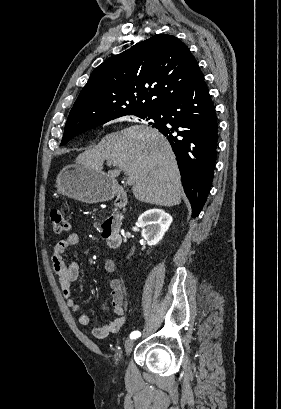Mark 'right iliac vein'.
Listing matches in <instances>:
<instances>
[{"label": "right iliac vein", "mask_w": 281, "mask_h": 409, "mask_svg": "<svg viewBox=\"0 0 281 409\" xmlns=\"http://www.w3.org/2000/svg\"><path fill=\"white\" fill-rule=\"evenodd\" d=\"M134 346V341L133 340H127L125 343V351L126 355H129L133 349Z\"/></svg>", "instance_id": "obj_1"}]
</instances>
